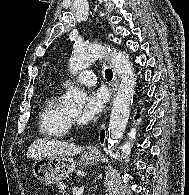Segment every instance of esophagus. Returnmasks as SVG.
<instances>
[{"mask_svg":"<svg viewBox=\"0 0 189 195\" xmlns=\"http://www.w3.org/2000/svg\"><path fill=\"white\" fill-rule=\"evenodd\" d=\"M114 75H116L115 72H114ZM115 79H116V76H115ZM89 151H90V152H94V151H95V146H94V145H91V146L89 147Z\"/></svg>","mask_w":189,"mask_h":195,"instance_id":"1","label":"esophagus"}]
</instances>
